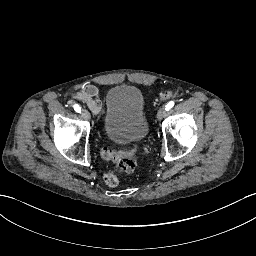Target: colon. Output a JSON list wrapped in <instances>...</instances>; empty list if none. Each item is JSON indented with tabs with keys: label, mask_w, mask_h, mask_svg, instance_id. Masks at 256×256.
Masks as SVG:
<instances>
[{
	"label": "colon",
	"mask_w": 256,
	"mask_h": 256,
	"mask_svg": "<svg viewBox=\"0 0 256 256\" xmlns=\"http://www.w3.org/2000/svg\"><path fill=\"white\" fill-rule=\"evenodd\" d=\"M172 96H173V91L172 90H168V91L163 92L160 95L159 99L157 100V104H160L164 101L170 100L172 98ZM135 152H136L135 149L131 150V153L128 155V157L126 159H124L121 162V164L119 165L121 168L118 172H115L114 170H111L103 176V181L106 185H108L109 187H118L120 185V182H121L120 181V176L123 173L131 172L134 169L135 165H136ZM117 154L118 153H115L114 151H111V150H108V149H105V148H103L101 150V157H109V158L112 159ZM120 159H122V158H120Z\"/></svg>",
	"instance_id": "5ec220e1"
}]
</instances>
